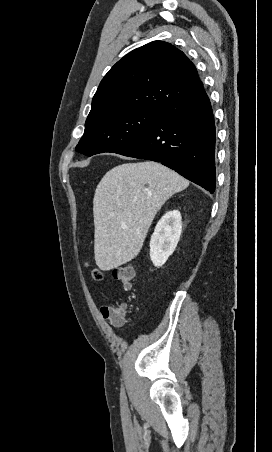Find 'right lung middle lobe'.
<instances>
[{
    "mask_svg": "<svg viewBox=\"0 0 272 452\" xmlns=\"http://www.w3.org/2000/svg\"><path fill=\"white\" fill-rule=\"evenodd\" d=\"M162 111L129 109L87 120L76 151L86 156L118 153L141 137Z\"/></svg>",
    "mask_w": 272,
    "mask_h": 452,
    "instance_id": "1",
    "label": "right lung middle lobe"
}]
</instances>
